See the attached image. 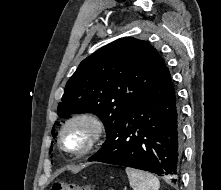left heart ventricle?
Returning <instances> with one entry per match:
<instances>
[{
	"label": "left heart ventricle",
	"instance_id": "b2bd125f",
	"mask_svg": "<svg viewBox=\"0 0 221 190\" xmlns=\"http://www.w3.org/2000/svg\"><path fill=\"white\" fill-rule=\"evenodd\" d=\"M89 134V127L85 123H75L66 130L65 144L70 148H81L87 143Z\"/></svg>",
	"mask_w": 221,
	"mask_h": 190
}]
</instances>
